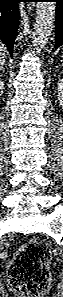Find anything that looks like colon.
Returning a JSON list of instances; mask_svg holds the SVG:
<instances>
[{
  "mask_svg": "<svg viewBox=\"0 0 63 297\" xmlns=\"http://www.w3.org/2000/svg\"><path fill=\"white\" fill-rule=\"evenodd\" d=\"M50 252L41 240L30 239L16 252L9 269V284L22 297L42 296L50 283Z\"/></svg>",
  "mask_w": 63,
  "mask_h": 297,
  "instance_id": "1",
  "label": "colon"
}]
</instances>
